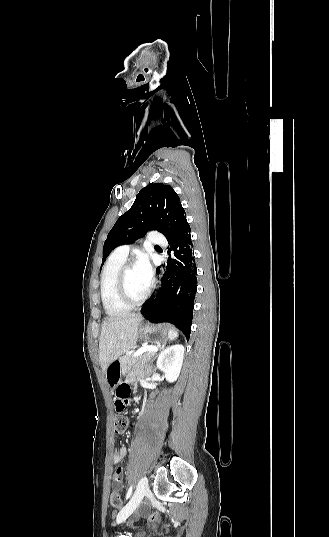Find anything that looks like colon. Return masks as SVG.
Returning a JSON list of instances; mask_svg holds the SVG:
<instances>
[{"mask_svg":"<svg viewBox=\"0 0 329 537\" xmlns=\"http://www.w3.org/2000/svg\"><path fill=\"white\" fill-rule=\"evenodd\" d=\"M116 393V391H115ZM129 425V420L127 417L118 415L114 421V431L116 434H122L126 431ZM110 505L114 508H119L121 505V495L117 491H113L110 495ZM158 516L156 514H151L149 516L150 522H155Z\"/></svg>","mask_w":329,"mask_h":537,"instance_id":"obj_1","label":"colon"}]
</instances>
